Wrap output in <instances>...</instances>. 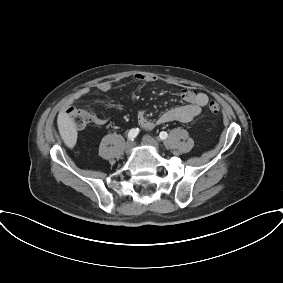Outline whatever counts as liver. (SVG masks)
<instances>
[{"label":"liver","instance_id":"1","mask_svg":"<svg viewBox=\"0 0 283 283\" xmlns=\"http://www.w3.org/2000/svg\"><path fill=\"white\" fill-rule=\"evenodd\" d=\"M57 125L63 142L66 146L72 148L77 141V130L74 122L67 113L60 111L57 118Z\"/></svg>","mask_w":283,"mask_h":283}]
</instances>
